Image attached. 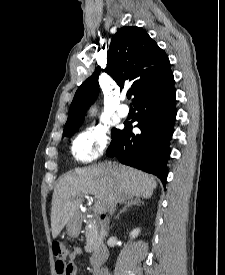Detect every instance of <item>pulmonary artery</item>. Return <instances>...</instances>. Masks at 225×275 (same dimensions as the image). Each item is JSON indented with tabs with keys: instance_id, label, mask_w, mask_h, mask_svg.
<instances>
[{
	"instance_id": "e3ab8cb5",
	"label": "pulmonary artery",
	"mask_w": 225,
	"mask_h": 275,
	"mask_svg": "<svg viewBox=\"0 0 225 275\" xmlns=\"http://www.w3.org/2000/svg\"><path fill=\"white\" fill-rule=\"evenodd\" d=\"M117 113L120 117H126L129 113V108L126 105H121L118 110Z\"/></svg>"
}]
</instances>
